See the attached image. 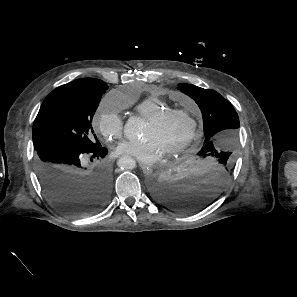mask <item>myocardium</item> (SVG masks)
I'll list each match as a JSON object with an SVG mask.
<instances>
[{"label":"myocardium","instance_id":"1","mask_svg":"<svg viewBox=\"0 0 297 297\" xmlns=\"http://www.w3.org/2000/svg\"><path fill=\"white\" fill-rule=\"evenodd\" d=\"M174 116L186 117L187 120L190 122L191 127L188 136L183 142L165 152V155L167 157H172L183 153L196 140L198 136V123L196 121V118L191 112L185 109H166L150 117L149 119H147V121L151 124L157 125L162 123L167 118Z\"/></svg>","mask_w":297,"mask_h":297}]
</instances>
